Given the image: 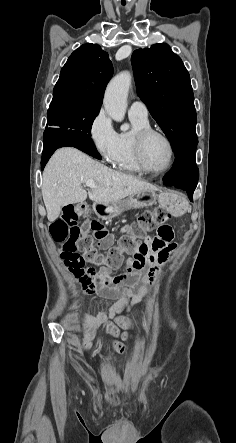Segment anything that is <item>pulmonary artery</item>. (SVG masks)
Wrapping results in <instances>:
<instances>
[{"label": "pulmonary artery", "mask_w": 236, "mask_h": 443, "mask_svg": "<svg viewBox=\"0 0 236 443\" xmlns=\"http://www.w3.org/2000/svg\"><path fill=\"white\" fill-rule=\"evenodd\" d=\"M128 113L130 117L148 119V108L146 104L140 100H135L131 103Z\"/></svg>", "instance_id": "e3ab8cb5"}]
</instances>
